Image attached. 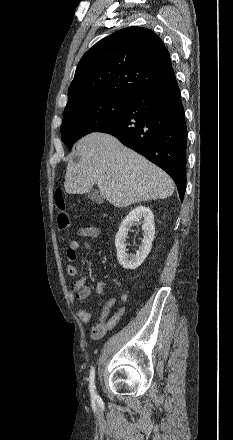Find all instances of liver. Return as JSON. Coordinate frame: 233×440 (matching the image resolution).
Listing matches in <instances>:
<instances>
[{
  "label": "liver",
  "mask_w": 233,
  "mask_h": 440,
  "mask_svg": "<svg viewBox=\"0 0 233 440\" xmlns=\"http://www.w3.org/2000/svg\"><path fill=\"white\" fill-rule=\"evenodd\" d=\"M76 151L80 160L69 161L65 175L69 194H84L96 184L109 203L123 208L174 192L169 175L112 135L90 133L77 142Z\"/></svg>",
  "instance_id": "obj_1"
}]
</instances>
